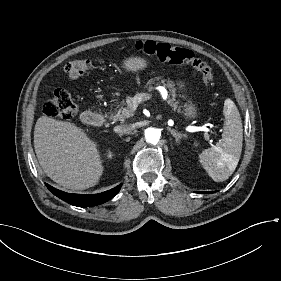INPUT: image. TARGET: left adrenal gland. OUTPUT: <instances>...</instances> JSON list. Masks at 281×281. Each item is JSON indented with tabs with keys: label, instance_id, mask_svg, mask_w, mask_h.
Returning <instances> with one entry per match:
<instances>
[{
	"label": "left adrenal gland",
	"instance_id": "a2214340",
	"mask_svg": "<svg viewBox=\"0 0 281 281\" xmlns=\"http://www.w3.org/2000/svg\"><path fill=\"white\" fill-rule=\"evenodd\" d=\"M167 129H168V131L172 134V136L175 138V140H176L177 143L180 142V139H181L182 137H187L186 135L177 132L175 129H171L170 127H168Z\"/></svg>",
	"mask_w": 281,
	"mask_h": 281
}]
</instances>
